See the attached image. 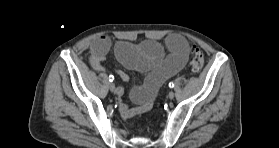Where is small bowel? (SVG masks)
<instances>
[{
  "label": "small bowel",
  "mask_w": 279,
  "mask_h": 148,
  "mask_svg": "<svg viewBox=\"0 0 279 148\" xmlns=\"http://www.w3.org/2000/svg\"><path fill=\"white\" fill-rule=\"evenodd\" d=\"M165 44L169 51L167 55L162 46L155 41H147L141 45L118 42L114 46L118 60L126 68L144 74L143 84L130 91V99L136 106L128 107L119 102V110L123 118H130L147 111L160 86L186 65L189 56L187 40L179 34H170L166 37ZM111 48L112 42L107 36H99L91 42L89 61L96 71H105L102 63ZM116 74L122 81L128 80V75L124 71L116 70Z\"/></svg>",
  "instance_id": "1"
}]
</instances>
